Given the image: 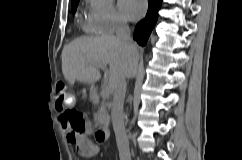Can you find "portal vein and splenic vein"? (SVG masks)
Segmentation results:
<instances>
[{"label":"portal vein and splenic vein","mask_w":242,"mask_h":160,"mask_svg":"<svg viewBox=\"0 0 242 160\" xmlns=\"http://www.w3.org/2000/svg\"><path fill=\"white\" fill-rule=\"evenodd\" d=\"M97 68L105 70V66L104 65H98ZM109 92H110V87L107 86V87L102 89L101 94H102L103 97H108Z\"/></svg>","instance_id":"18ae733b"}]
</instances>
